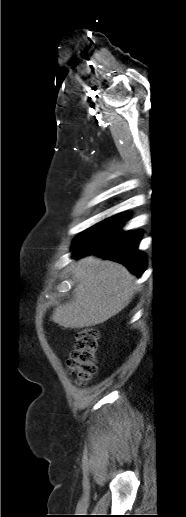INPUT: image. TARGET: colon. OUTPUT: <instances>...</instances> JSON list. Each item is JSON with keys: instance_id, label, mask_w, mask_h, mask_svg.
<instances>
[{"instance_id": "1", "label": "colon", "mask_w": 186, "mask_h": 517, "mask_svg": "<svg viewBox=\"0 0 186 517\" xmlns=\"http://www.w3.org/2000/svg\"><path fill=\"white\" fill-rule=\"evenodd\" d=\"M98 347V329L89 327L76 332L75 346L68 361V368L81 383L87 382L96 373Z\"/></svg>"}]
</instances>
